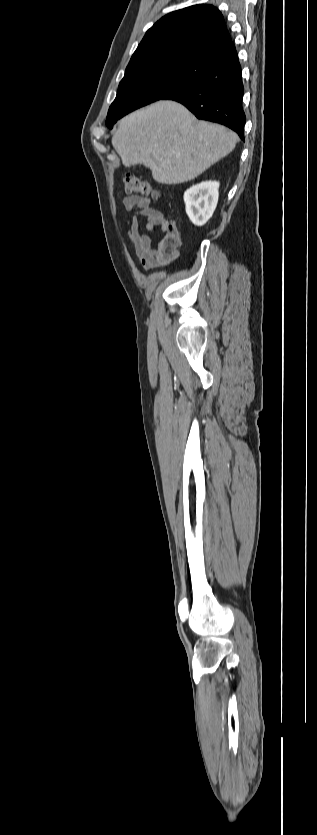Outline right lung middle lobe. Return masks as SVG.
<instances>
[{
    "mask_svg": "<svg viewBox=\"0 0 317 835\" xmlns=\"http://www.w3.org/2000/svg\"><path fill=\"white\" fill-rule=\"evenodd\" d=\"M205 76L194 57L156 64L126 74L109 108L106 125L112 128L113 123L129 112L164 99L178 89L203 80Z\"/></svg>",
    "mask_w": 317,
    "mask_h": 835,
    "instance_id": "dd1d6c3e",
    "label": "right lung middle lobe"
}]
</instances>
